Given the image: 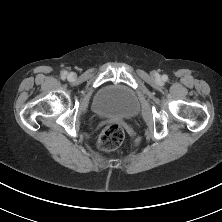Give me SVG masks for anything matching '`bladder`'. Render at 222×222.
I'll use <instances>...</instances> for the list:
<instances>
[{
	"mask_svg": "<svg viewBox=\"0 0 222 222\" xmlns=\"http://www.w3.org/2000/svg\"><path fill=\"white\" fill-rule=\"evenodd\" d=\"M92 109L100 118H130L137 114L139 102L129 87L111 84L97 92L92 102Z\"/></svg>",
	"mask_w": 222,
	"mask_h": 222,
	"instance_id": "31cf9c89",
	"label": "bladder"
}]
</instances>
